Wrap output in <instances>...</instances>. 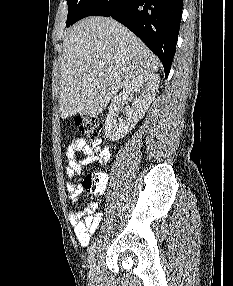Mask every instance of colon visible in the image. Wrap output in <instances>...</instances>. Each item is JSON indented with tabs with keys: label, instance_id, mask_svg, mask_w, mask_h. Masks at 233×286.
I'll return each instance as SVG.
<instances>
[{
	"label": "colon",
	"instance_id": "5ec220e1",
	"mask_svg": "<svg viewBox=\"0 0 233 286\" xmlns=\"http://www.w3.org/2000/svg\"><path fill=\"white\" fill-rule=\"evenodd\" d=\"M75 124L82 135L88 140L90 147L95 151L101 150V134L103 126L96 117H76ZM108 177L105 173H93L87 175L82 183V187L87 192L96 193L105 188Z\"/></svg>",
	"mask_w": 233,
	"mask_h": 286
}]
</instances>
